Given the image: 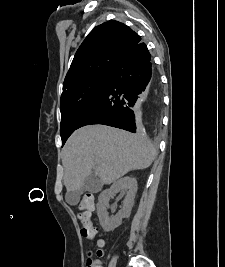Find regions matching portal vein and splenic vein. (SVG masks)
I'll return each mask as SVG.
<instances>
[{
  "label": "portal vein and splenic vein",
  "instance_id": "portal-vein-and-splenic-vein-1",
  "mask_svg": "<svg viewBox=\"0 0 225 267\" xmlns=\"http://www.w3.org/2000/svg\"><path fill=\"white\" fill-rule=\"evenodd\" d=\"M99 161V159H96V162H98Z\"/></svg>",
  "mask_w": 225,
  "mask_h": 267
}]
</instances>
